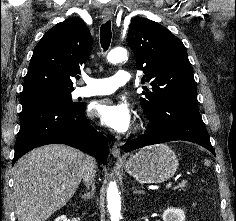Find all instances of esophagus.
Masks as SVG:
<instances>
[{"label":"esophagus","instance_id":"esophagus-1","mask_svg":"<svg viewBox=\"0 0 236 221\" xmlns=\"http://www.w3.org/2000/svg\"><path fill=\"white\" fill-rule=\"evenodd\" d=\"M112 14L113 13L111 10L105 9L102 12V17L104 18V20H109L111 19ZM110 151H111L112 156L116 158L119 162L123 161V158L121 157V154H120V148L117 145H113Z\"/></svg>","mask_w":236,"mask_h":221}]
</instances>
